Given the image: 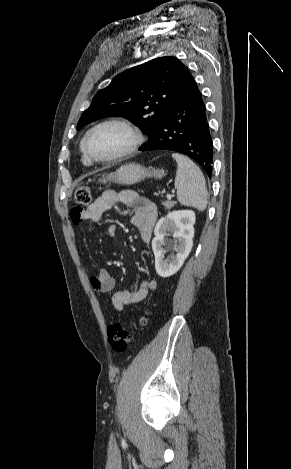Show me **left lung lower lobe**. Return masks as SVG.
<instances>
[{"mask_svg":"<svg viewBox=\"0 0 291 469\" xmlns=\"http://www.w3.org/2000/svg\"><path fill=\"white\" fill-rule=\"evenodd\" d=\"M166 149L195 160L211 177L213 143L202 95L193 77L174 100L158 127L139 150Z\"/></svg>","mask_w":291,"mask_h":469,"instance_id":"left-lung-lower-lobe-1","label":"left lung lower lobe"}]
</instances>
